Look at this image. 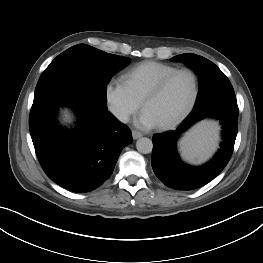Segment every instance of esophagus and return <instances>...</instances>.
<instances>
[{
  "mask_svg": "<svg viewBox=\"0 0 263 263\" xmlns=\"http://www.w3.org/2000/svg\"><path fill=\"white\" fill-rule=\"evenodd\" d=\"M132 137L134 140H136V139H139L140 137H142V134L136 130H133L132 131Z\"/></svg>",
  "mask_w": 263,
  "mask_h": 263,
  "instance_id": "esophagus-1",
  "label": "esophagus"
}]
</instances>
